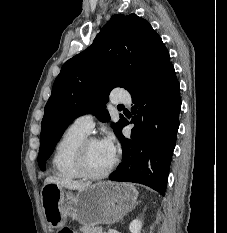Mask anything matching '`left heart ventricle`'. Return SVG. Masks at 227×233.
<instances>
[{
	"mask_svg": "<svg viewBox=\"0 0 227 233\" xmlns=\"http://www.w3.org/2000/svg\"><path fill=\"white\" fill-rule=\"evenodd\" d=\"M113 157L100 141L92 142L87 150V166L92 172H102L111 164Z\"/></svg>",
	"mask_w": 227,
	"mask_h": 233,
	"instance_id": "obj_1",
	"label": "left heart ventricle"
}]
</instances>
